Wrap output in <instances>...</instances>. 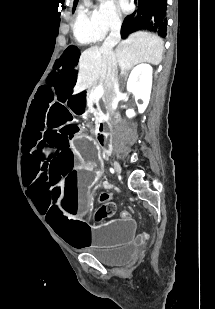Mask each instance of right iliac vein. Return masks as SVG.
I'll use <instances>...</instances> for the list:
<instances>
[{
    "label": "right iliac vein",
    "instance_id": "63e3f726",
    "mask_svg": "<svg viewBox=\"0 0 215 309\" xmlns=\"http://www.w3.org/2000/svg\"><path fill=\"white\" fill-rule=\"evenodd\" d=\"M113 165H114L115 171H116L117 173H120V172H121V169H120L119 163L115 160V161L113 162Z\"/></svg>",
    "mask_w": 215,
    "mask_h": 309
}]
</instances>
